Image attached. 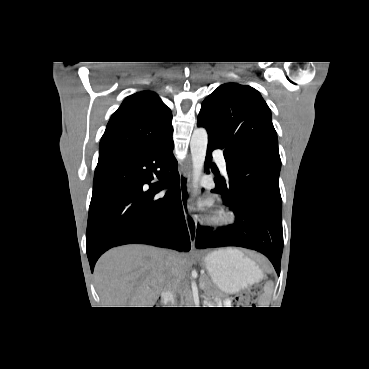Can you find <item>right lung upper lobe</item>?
<instances>
[{
	"instance_id": "obj_1",
	"label": "right lung upper lobe",
	"mask_w": 369,
	"mask_h": 369,
	"mask_svg": "<svg viewBox=\"0 0 369 369\" xmlns=\"http://www.w3.org/2000/svg\"><path fill=\"white\" fill-rule=\"evenodd\" d=\"M171 110L153 92L128 96L111 116L99 146L97 165L152 147L172 136Z\"/></svg>"
}]
</instances>
